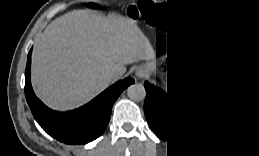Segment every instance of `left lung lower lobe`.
<instances>
[{
    "label": "left lung lower lobe",
    "mask_w": 259,
    "mask_h": 156,
    "mask_svg": "<svg viewBox=\"0 0 259 156\" xmlns=\"http://www.w3.org/2000/svg\"><path fill=\"white\" fill-rule=\"evenodd\" d=\"M146 98L144 112L153 132L167 142H184L198 135L207 125L209 115L216 108L214 93L203 91L195 102L175 96L167 86V94L144 84Z\"/></svg>",
    "instance_id": "obj_1"
}]
</instances>
